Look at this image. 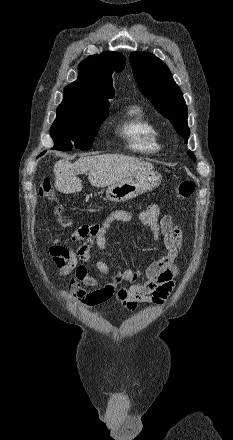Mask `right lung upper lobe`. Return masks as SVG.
<instances>
[{"label": "right lung upper lobe", "mask_w": 233, "mask_h": 440, "mask_svg": "<svg viewBox=\"0 0 233 440\" xmlns=\"http://www.w3.org/2000/svg\"><path fill=\"white\" fill-rule=\"evenodd\" d=\"M125 58L117 52L89 56L79 64L78 79L64 90L63 105L108 106L114 98L112 74L121 72Z\"/></svg>", "instance_id": "right-lung-upper-lobe-1"}]
</instances>
